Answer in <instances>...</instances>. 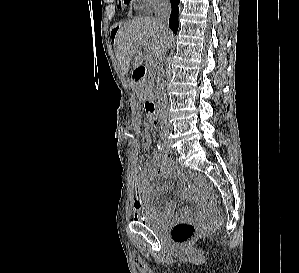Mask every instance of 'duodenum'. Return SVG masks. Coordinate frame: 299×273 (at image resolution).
Instances as JSON below:
<instances>
[{
	"instance_id": "obj_1",
	"label": "duodenum",
	"mask_w": 299,
	"mask_h": 273,
	"mask_svg": "<svg viewBox=\"0 0 299 273\" xmlns=\"http://www.w3.org/2000/svg\"><path fill=\"white\" fill-rule=\"evenodd\" d=\"M148 68L146 66H139L137 67L134 72H133V80L135 82H139L142 79H144L147 74H148ZM145 108L146 111L150 114V115H156L157 113V106H156V102L151 99V98H146L145 99Z\"/></svg>"
}]
</instances>
